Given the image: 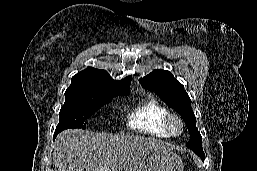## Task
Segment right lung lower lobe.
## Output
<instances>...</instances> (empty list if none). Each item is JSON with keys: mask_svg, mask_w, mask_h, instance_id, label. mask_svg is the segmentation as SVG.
Here are the masks:
<instances>
[{"mask_svg": "<svg viewBox=\"0 0 257 171\" xmlns=\"http://www.w3.org/2000/svg\"><path fill=\"white\" fill-rule=\"evenodd\" d=\"M60 133L59 131L55 130V133H54V137L53 139H55V137L57 136V134Z\"/></svg>", "mask_w": 257, "mask_h": 171, "instance_id": "98d812e1", "label": "right lung lower lobe"}]
</instances>
